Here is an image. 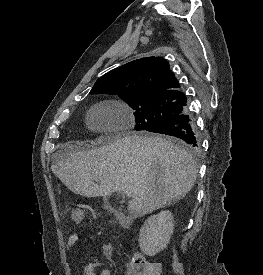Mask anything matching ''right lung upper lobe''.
I'll use <instances>...</instances> for the list:
<instances>
[{"instance_id": "right-lung-upper-lobe-1", "label": "right lung upper lobe", "mask_w": 263, "mask_h": 275, "mask_svg": "<svg viewBox=\"0 0 263 275\" xmlns=\"http://www.w3.org/2000/svg\"><path fill=\"white\" fill-rule=\"evenodd\" d=\"M123 90L134 95H184L169 64L161 57H146L113 69L99 78L91 91Z\"/></svg>"}]
</instances>
